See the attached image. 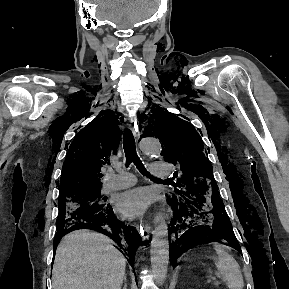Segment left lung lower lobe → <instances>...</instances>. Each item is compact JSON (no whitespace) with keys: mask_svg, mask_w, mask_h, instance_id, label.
Here are the masks:
<instances>
[{"mask_svg":"<svg viewBox=\"0 0 289 289\" xmlns=\"http://www.w3.org/2000/svg\"><path fill=\"white\" fill-rule=\"evenodd\" d=\"M174 216L169 227V253L175 262L185 251L192 248V240L214 236L228 241L239 252V244L232 224L219 195L213 191H193L181 197H169Z\"/></svg>","mask_w":289,"mask_h":289,"instance_id":"obj_1","label":"left lung lower lobe"}]
</instances>
